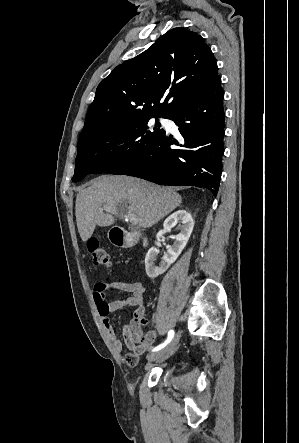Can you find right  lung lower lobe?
<instances>
[{
  "mask_svg": "<svg viewBox=\"0 0 299 443\" xmlns=\"http://www.w3.org/2000/svg\"><path fill=\"white\" fill-rule=\"evenodd\" d=\"M223 96L221 78L217 76L164 116L176 123L182 138L164 132L141 158L113 174L160 185L204 187L216 196L222 169Z\"/></svg>",
  "mask_w": 299,
  "mask_h": 443,
  "instance_id": "right-lung-lower-lobe-1",
  "label": "right lung lower lobe"
}]
</instances>
